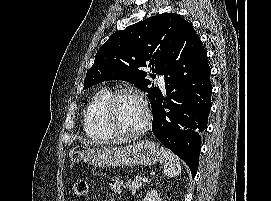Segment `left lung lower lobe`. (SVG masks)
Segmentation results:
<instances>
[{
    "label": "left lung lower lobe",
    "instance_id": "1",
    "mask_svg": "<svg viewBox=\"0 0 271 201\" xmlns=\"http://www.w3.org/2000/svg\"><path fill=\"white\" fill-rule=\"evenodd\" d=\"M210 74L198 35L177 39L165 77L167 97L161 95L153 113V133L188 164L193 178L199 163L200 134L207 127L212 106Z\"/></svg>",
    "mask_w": 271,
    "mask_h": 201
}]
</instances>
